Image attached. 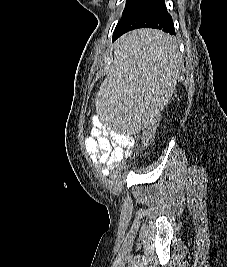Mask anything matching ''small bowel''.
I'll list each match as a JSON object with an SVG mask.
<instances>
[{
    "label": "small bowel",
    "instance_id": "c3829d8e",
    "mask_svg": "<svg viewBox=\"0 0 227 267\" xmlns=\"http://www.w3.org/2000/svg\"><path fill=\"white\" fill-rule=\"evenodd\" d=\"M134 137H122L118 132H105L101 121L97 120L91 129V134L85 139V148L94 164H105L108 168L116 167L119 162L130 155L127 149L134 148ZM107 174V169L102 170Z\"/></svg>",
    "mask_w": 227,
    "mask_h": 267
}]
</instances>
